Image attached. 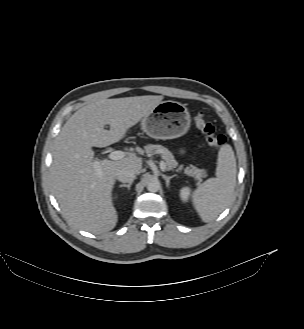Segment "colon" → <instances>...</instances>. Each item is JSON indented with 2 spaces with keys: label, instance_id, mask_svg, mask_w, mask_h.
I'll return each mask as SVG.
<instances>
[{
  "label": "colon",
  "instance_id": "colon-1",
  "mask_svg": "<svg viewBox=\"0 0 304 329\" xmlns=\"http://www.w3.org/2000/svg\"><path fill=\"white\" fill-rule=\"evenodd\" d=\"M195 125L210 146L220 149L225 145L226 137L216 133L214 125L205 117L203 112H198L195 116Z\"/></svg>",
  "mask_w": 304,
  "mask_h": 329
}]
</instances>
